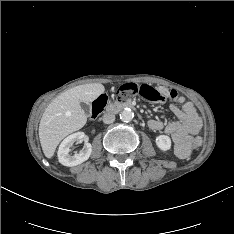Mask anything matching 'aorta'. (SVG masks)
Here are the masks:
<instances>
[{"label": "aorta", "instance_id": "762f6f07", "mask_svg": "<svg viewBox=\"0 0 234 234\" xmlns=\"http://www.w3.org/2000/svg\"><path fill=\"white\" fill-rule=\"evenodd\" d=\"M134 117V113L132 112L131 109L126 108L120 113V119L123 122H130Z\"/></svg>", "mask_w": 234, "mask_h": 234}]
</instances>
